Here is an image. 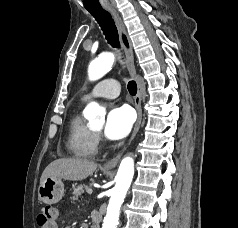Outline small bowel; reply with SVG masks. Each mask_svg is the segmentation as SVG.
<instances>
[{
  "label": "small bowel",
  "mask_w": 238,
  "mask_h": 228,
  "mask_svg": "<svg viewBox=\"0 0 238 228\" xmlns=\"http://www.w3.org/2000/svg\"><path fill=\"white\" fill-rule=\"evenodd\" d=\"M49 228H58L57 222H54Z\"/></svg>",
  "instance_id": "small-bowel-1"
}]
</instances>
